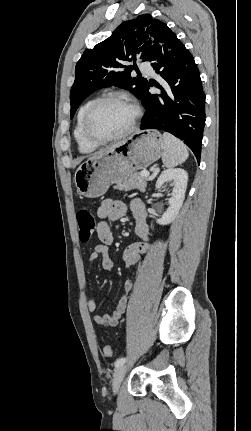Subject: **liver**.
Returning a JSON list of instances; mask_svg holds the SVG:
<instances>
[{
  "label": "liver",
  "instance_id": "liver-1",
  "mask_svg": "<svg viewBox=\"0 0 251 431\" xmlns=\"http://www.w3.org/2000/svg\"><path fill=\"white\" fill-rule=\"evenodd\" d=\"M118 144H119V143H118ZM118 144H116V145H112V146L108 147L107 149H104V150L100 151L98 154L94 155V156H93V157H91V158H95V157H98V156H100V155L105 154V153H106V152H108L109 150H111V149H113L114 147H116Z\"/></svg>",
  "mask_w": 251,
  "mask_h": 431
}]
</instances>
